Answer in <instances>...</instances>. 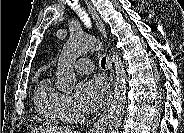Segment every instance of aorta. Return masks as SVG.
Segmentation results:
<instances>
[{
    "label": "aorta",
    "instance_id": "obj_1",
    "mask_svg": "<svg viewBox=\"0 0 184 133\" xmlns=\"http://www.w3.org/2000/svg\"><path fill=\"white\" fill-rule=\"evenodd\" d=\"M103 43L94 36L76 34L65 43L59 58L56 77L59 87L72 91L76 84L73 63L82 55L103 49ZM115 69L114 98L106 115L100 133H118L125 113L127 76L125 66L118 55H113Z\"/></svg>",
    "mask_w": 184,
    "mask_h": 133
}]
</instances>
